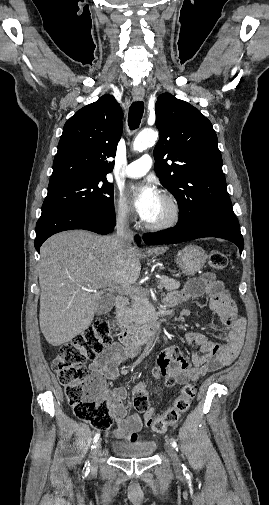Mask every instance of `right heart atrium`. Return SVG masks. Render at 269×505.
<instances>
[{
    "mask_svg": "<svg viewBox=\"0 0 269 505\" xmlns=\"http://www.w3.org/2000/svg\"><path fill=\"white\" fill-rule=\"evenodd\" d=\"M114 213L117 221L121 224H129L133 215L127 202L123 197H117L114 201Z\"/></svg>",
    "mask_w": 269,
    "mask_h": 505,
    "instance_id": "1",
    "label": "right heart atrium"
}]
</instances>
